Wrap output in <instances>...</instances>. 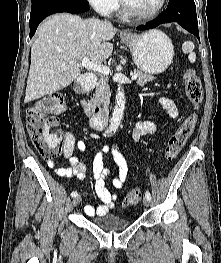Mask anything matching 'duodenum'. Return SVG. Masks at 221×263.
<instances>
[{
  "label": "duodenum",
  "mask_w": 221,
  "mask_h": 263,
  "mask_svg": "<svg viewBox=\"0 0 221 263\" xmlns=\"http://www.w3.org/2000/svg\"><path fill=\"white\" fill-rule=\"evenodd\" d=\"M95 83L96 75L94 73H85L78 83V90L89 91L95 86ZM81 106L95 130H104L106 128L108 117L99 106H95L94 103L87 99L81 100Z\"/></svg>",
  "instance_id": "1"
}]
</instances>
